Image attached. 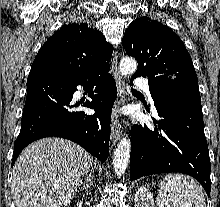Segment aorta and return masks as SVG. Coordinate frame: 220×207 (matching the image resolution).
I'll use <instances>...</instances> for the list:
<instances>
[{"mask_svg":"<svg viewBox=\"0 0 220 207\" xmlns=\"http://www.w3.org/2000/svg\"><path fill=\"white\" fill-rule=\"evenodd\" d=\"M119 69L123 76L131 75L137 70V62L132 57H124L120 61ZM130 148V140L126 136L117 145L113 158V167L117 176L123 175L128 167Z\"/></svg>","mask_w":220,"mask_h":207,"instance_id":"1","label":"aorta"}]
</instances>
